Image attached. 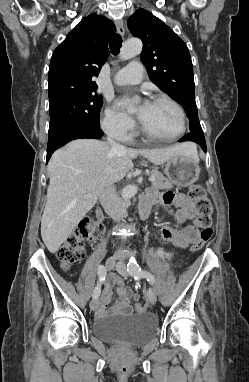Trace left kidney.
<instances>
[{"mask_svg": "<svg viewBox=\"0 0 249 382\" xmlns=\"http://www.w3.org/2000/svg\"><path fill=\"white\" fill-rule=\"evenodd\" d=\"M164 245H147L146 246V255L147 257H152V258H159L158 255L162 257L168 258L169 256V251L168 250H161Z\"/></svg>", "mask_w": 249, "mask_h": 382, "instance_id": "obj_1", "label": "left kidney"}]
</instances>
